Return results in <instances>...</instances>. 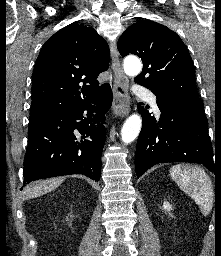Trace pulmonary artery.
Listing matches in <instances>:
<instances>
[{
    "mask_svg": "<svg viewBox=\"0 0 221 256\" xmlns=\"http://www.w3.org/2000/svg\"><path fill=\"white\" fill-rule=\"evenodd\" d=\"M134 93L140 97L146 98L150 102V104L153 106V108L155 110H158V106L156 103V97L148 89H146L145 87L136 85L134 87Z\"/></svg>",
    "mask_w": 221,
    "mask_h": 256,
    "instance_id": "1",
    "label": "pulmonary artery"
}]
</instances>
